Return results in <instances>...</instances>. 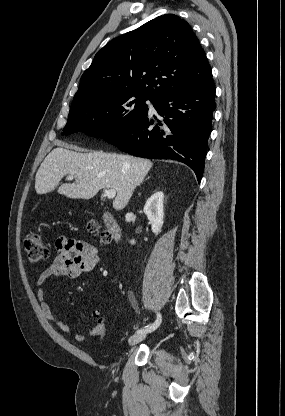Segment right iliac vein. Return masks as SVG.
I'll return each instance as SVG.
<instances>
[{
	"instance_id": "1",
	"label": "right iliac vein",
	"mask_w": 285,
	"mask_h": 416,
	"mask_svg": "<svg viewBox=\"0 0 285 416\" xmlns=\"http://www.w3.org/2000/svg\"><path fill=\"white\" fill-rule=\"evenodd\" d=\"M146 333L147 332H142V333H136V334L132 335L128 340V344L130 346H133V345H136L137 343L141 342L142 340H144L146 338Z\"/></svg>"
}]
</instances>
